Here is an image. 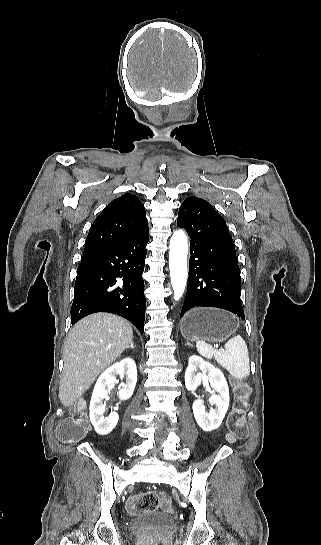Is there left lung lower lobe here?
<instances>
[{
    "mask_svg": "<svg viewBox=\"0 0 321 545\" xmlns=\"http://www.w3.org/2000/svg\"><path fill=\"white\" fill-rule=\"evenodd\" d=\"M177 225L190 240L188 291L181 316L194 307H217L245 319L241 277L233 240L225 220L208 203L181 206Z\"/></svg>",
    "mask_w": 321,
    "mask_h": 545,
    "instance_id": "1",
    "label": "left lung lower lobe"
}]
</instances>
